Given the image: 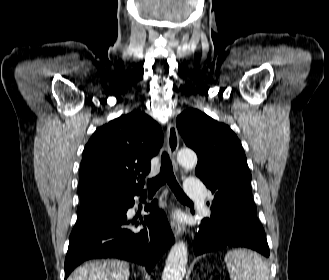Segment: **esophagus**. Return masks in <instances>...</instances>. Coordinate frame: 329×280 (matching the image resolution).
<instances>
[{
	"instance_id": "esophagus-1",
	"label": "esophagus",
	"mask_w": 329,
	"mask_h": 280,
	"mask_svg": "<svg viewBox=\"0 0 329 280\" xmlns=\"http://www.w3.org/2000/svg\"><path fill=\"white\" fill-rule=\"evenodd\" d=\"M167 147H168V152L172 157L175 169L177 170L178 167L175 161V156L179 147V135L177 128L172 123H169L167 127ZM170 226L176 238H178L184 233L183 227L178 221L175 220L173 215L170 216Z\"/></svg>"
}]
</instances>
